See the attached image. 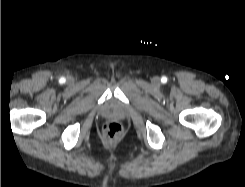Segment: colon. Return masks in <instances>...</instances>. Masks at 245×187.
<instances>
[{"mask_svg": "<svg viewBox=\"0 0 245 187\" xmlns=\"http://www.w3.org/2000/svg\"><path fill=\"white\" fill-rule=\"evenodd\" d=\"M103 131L107 138L113 139L121 132V126L117 122H108L104 125Z\"/></svg>", "mask_w": 245, "mask_h": 187, "instance_id": "obj_1", "label": "colon"}]
</instances>
